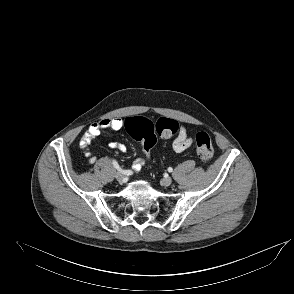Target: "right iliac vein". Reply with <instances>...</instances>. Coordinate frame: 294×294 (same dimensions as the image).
<instances>
[{"label": "right iliac vein", "mask_w": 294, "mask_h": 294, "mask_svg": "<svg viewBox=\"0 0 294 294\" xmlns=\"http://www.w3.org/2000/svg\"><path fill=\"white\" fill-rule=\"evenodd\" d=\"M115 178L119 183H122L124 181V175L122 173H116Z\"/></svg>", "instance_id": "obj_1"}]
</instances>
